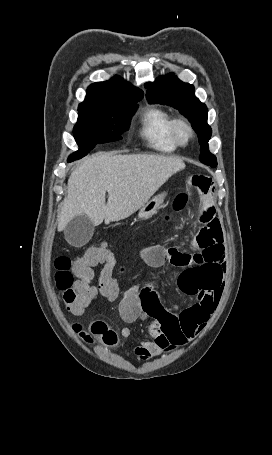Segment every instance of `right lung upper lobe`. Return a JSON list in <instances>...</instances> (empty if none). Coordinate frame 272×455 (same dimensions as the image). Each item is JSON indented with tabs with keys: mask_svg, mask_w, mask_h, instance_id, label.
<instances>
[{
	"mask_svg": "<svg viewBox=\"0 0 272 455\" xmlns=\"http://www.w3.org/2000/svg\"><path fill=\"white\" fill-rule=\"evenodd\" d=\"M143 92L122 78L115 76L109 81L96 82L88 87L87 95L79 105L81 109L111 110L141 100Z\"/></svg>",
	"mask_w": 272,
	"mask_h": 455,
	"instance_id": "right-lung-upper-lobe-1",
	"label": "right lung upper lobe"
}]
</instances>
